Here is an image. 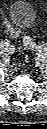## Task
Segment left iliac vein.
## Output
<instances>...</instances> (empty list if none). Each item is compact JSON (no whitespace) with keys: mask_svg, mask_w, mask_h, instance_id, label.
<instances>
[{"mask_svg":"<svg viewBox=\"0 0 47 129\" xmlns=\"http://www.w3.org/2000/svg\"><path fill=\"white\" fill-rule=\"evenodd\" d=\"M37 55L42 58L45 59L46 58V52L44 50H40V49H36Z\"/></svg>","mask_w":47,"mask_h":129,"instance_id":"1","label":"left iliac vein"}]
</instances>
